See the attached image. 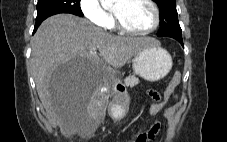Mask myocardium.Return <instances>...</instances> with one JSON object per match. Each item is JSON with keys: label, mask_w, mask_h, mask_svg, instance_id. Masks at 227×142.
Masks as SVG:
<instances>
[{"label": "myocardium", "mask_w": 227, "mask_h": 142, "mask_svg": "<svg viewBox=\"0 0 227 142\" xmlns=\"http://www.w3.org/2000/svg\"><path fill=\"white\" fill-rule=\"evenodd\" d=\"M146 1L151 6V8L153 10V15H154L153 23L149 28H147L145 30L130 29L123 23L121 18L115 12L112 11V19H113L114 26L119 31L129 34V35L143 36V35H148V34L154 32L160 24V9L154 0H146Z\"/></svg>", "instance_id": "1"}]
</instances>
